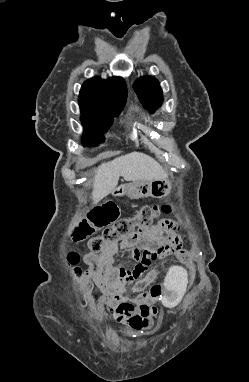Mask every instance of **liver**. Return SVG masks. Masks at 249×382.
<instances>
[{
	"label": "liver",
	"instance_id": "1",
	"mask_svg": "<svg viewBox=\"0 0 249 382\" xmlns=\"http://www.w3.org/2000/svg\"><path fill=\"white\" fill-rule=\"evenodd\" d=\"M126 181L165 180L168 174L152 157L133 152L103 163L95 170L92 199L102 200L117 189L119 178Z\"/></svg>",
	"mask_w": 249,
	"mask_h": 382
}]
</instances>
